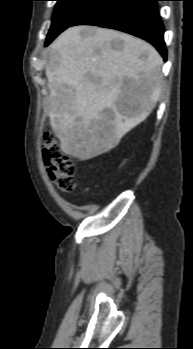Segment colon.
<instances>
[{"mask_svg":"<svg viewBox=\"0 0 193 349\" xmlns=\"http://www.w3.org/2000/svg\"><path fill=\"white\" fill-rule=\"evenodd\" d=\"M42 155L52 181L63 192H72L76 186L75 164L71 157L62 151L54 135L45 134Z\"/></svg>","mask_w":193,"mask_h":349,"instance_id":"obj_1","label":"colon"}]
</instances>
